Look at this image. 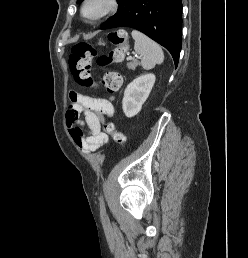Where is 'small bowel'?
<instances>
[{
	"label": "small bowel",
	"mask_w": 248,
	"mask_h": 258,
	"mask_svg": "<svg viewBox=\"0 0 248 258\" xmlns=\"http://www.w3.org/2000/svg\"><path fill=\"white\" fill-rule=\"evenodd\" d=\"M111 74L116 75L122 82L120 75ZM70 99L73 104L66 118L69 133L81 152L86 154L95 152L108 143L109 138L102 130V124L105 117L114 114L112 102L77 92H72Z\"/></svg>",
	"instance_id": "c3829d8e"
}]
</instances>
